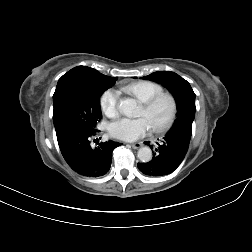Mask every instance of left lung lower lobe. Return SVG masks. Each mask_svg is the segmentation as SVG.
<instances>
[{"mask_svg": "<svg viewBox=\"0 0 252 252\" xmlns=\"http://www.w3.org/2000/svg\"><path fill=\"white\" fill-rule=\"evenodd\" d=\"M191 135L190 122L184 121L172 127L160 144L157 143L152 160L147 163H138V169L147 176L155 177L172 173L185 158ZM150 147L153 149L152 145Z\"/></svg>", "mask_w": 252, "mask_h": 252, "instance_id": "obj_1", "label": "left lung lower lobe"}]
</instances>
